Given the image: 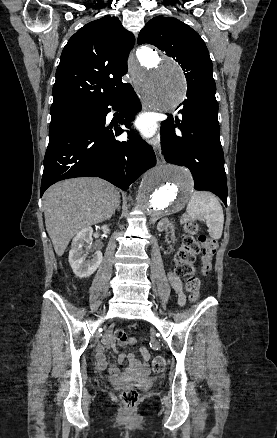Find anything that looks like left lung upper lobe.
Here are the masks:
<instances>
[{"mask_svg":"<svg viewBox=\"0 0 277 438\" xmlns=\"http://www.w3.org/2000/svg\"><path fill=\"white\" fill-rule=\"evenodd\" d=\"M148 43L175 59L187 79V98L215 97V81L208 49L190 26L176 18L157 16L148 21L138 44Z\"/></svg>","mask_w":277,"mask_h":438,"instance_id":"5c2ea615","label":"left lung upper lobe"}]
</instances>
